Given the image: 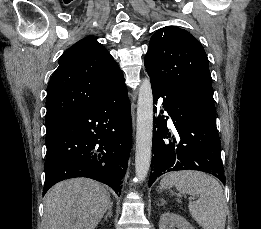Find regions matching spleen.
<instances>
[{"label": "spleen", "mask_w": 261, "mask_h": 229, "mask_svg": "<svg viewBox=\"0 0 261 229\" xmlns=\"http://www.w3.org/2000/svg\"><path fill=\"white\" fill-rule=\"evenodd\" d=\"M161 185L176 187L177 191L199 197L190 201L189 213L202 229H225L227 205L222 187L216 179L201 171H171ZM177 203H182L178 199Z\"/></svg>", "instance_id": "spleen-1"}]
</instances>
